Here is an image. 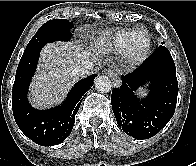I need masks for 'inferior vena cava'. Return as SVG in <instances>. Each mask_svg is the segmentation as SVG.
Wrapping results in <instances>:
<instances>
[{
	"label": "inferior vena cava",
	"mask_w": 196,
	"mask_h": 166,
	"mask_svg": "<svg viewBox=\"0 0 196 166\" xmlns=\"http://www.w3.org/2000/svg\"><path fill=\"white\" fill-rule=\"evenodd\" d=\"M93 67V63L88 61L84 62L73 70V74H75L78 77H84L85 75H88L92 72Z\"/></svg>",
	"instance_id": "obj_1"
}]
</instances>
